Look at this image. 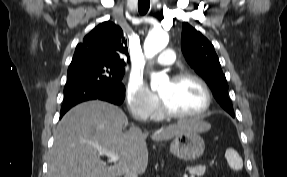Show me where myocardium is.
I'll return each instance as SVG.
<instances>
[{
  "label": "myocardium",
  "instance_id": "f54148a6",
  "mask_svg": "<svg viewBox=\"0 0 287 177\" xmlns=\"http://www.w3.org/2000/svg\"><path fill=\"white\" fill-rule=\"evenodd\" d=\"M184 80H192L196 82L202 89L204 96H205V103L201 110H199L196 113H190V114H183V113H177L172 111L166 103L162 100L160 97V105H161V110L163 114L168 117V118H173V119H195L203 116L205 113L209 111L212 105V94L210 91V88L208 87L207 83L199 76L193 74V73H188V72H181L176 74L173 78L172 81L174 82H180Z\"/></svg>",
  "mask_w": 287,
  "mask_h": 177
}]
</instances>
